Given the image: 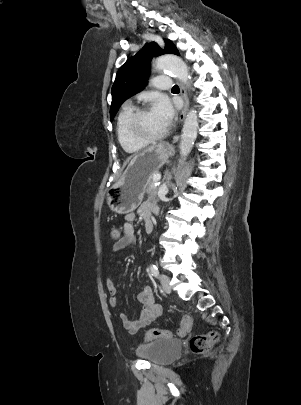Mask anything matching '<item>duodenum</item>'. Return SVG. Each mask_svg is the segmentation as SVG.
I'll return each mask as SVG.
<instances>
[{"instance_id": "obj_1", "label": "duodenum", "mask_w": 301, "mask_h": 405, "mask_svg": "<svg viewBox=\"0 0 301 405\" xmlns=\"http://www.w3.org/2000/svg\"><path fill=\"white\" fill-rule=\"evenodd\" d=\"M153 230V222L151 219L145 221V231L146 233H151Z\"/></svg>"}]
</instances>
